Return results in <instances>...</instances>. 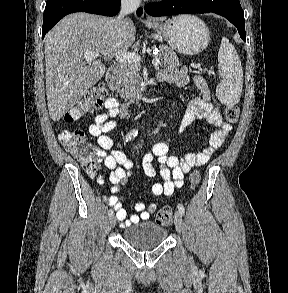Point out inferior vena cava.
<instances>
[{
  "instance_id": "obj_1",
  "label": "inferior vena cava",
  "mask_w": 288,
  "mask_h": 293,
  "mask_svg": "<svg viewBox=\"0 0 288 293\" xmlns=\"http://www.w3.org/2000/svg\"><path fill=\"white\" fill-rule=\"evenodd\" d=\"M140 5V0H122L121 10L116 18V22L122 25L125 21V16L136 11Z\"/></svg>"
}]
</instances>
